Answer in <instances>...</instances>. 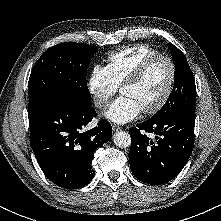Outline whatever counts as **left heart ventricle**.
Returning <instances> with one entry per match:
<instances>
[{
  "label": "left heart ventricle",
  "mask_w": 221,
  "mask_h": 221,
  "mask_svg": "<svg viewBox=\"0 0 221 221\" xmlns=\"http://www.w3.org/2000/svg\"><path fill=\"white\" fill-rule=\"evenodd\" d=\"M170 79L169 64L155 60L134 85L124 87L121 94L134 100L141 110L154 106L164 95Z\"/></svg>",
  "instance_id": "left-heart-ventricle-1"
}]
</instances>
